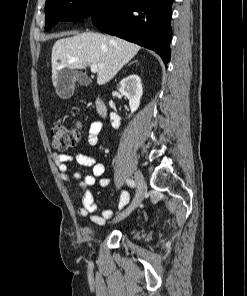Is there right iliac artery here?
Segmentation results:
<instances>
[{
    "label": "right iliac artery",
    "mask_w": 247,
    "mask_h": 296,
    "mask_svg": "<svg viewBox=\"0 0 247 296\" xmlns=\"http://www.w3.org/2000/svg\"><path fill=\"white\" fill-rule=\"evenodd\" d=\"M126 183L128 186L133 187V188L136 186L135 182L132 179H127Z\"/></svg>",
    "instance_id": "1"
}]
</instances>
